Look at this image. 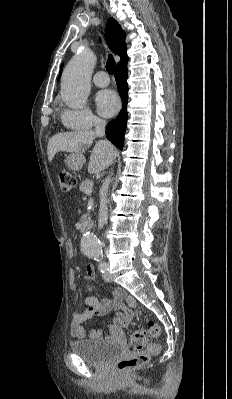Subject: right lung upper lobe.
Masks as SVG:
<instances>
[{
    "instance_id": "obj_1",
    "label": "right lung upper lobe",
    "mask_w": 232,
    "mask_h": 399,
    "mask_svg": "<svg viewBox=\"0 0 232 399\" xmlns=\"http://www.w3.org/2000/svg\"><path fill=\"white\" fill-rule=\"evenodd\" d=\"M107 37L112 51L121 57L120 62L127 60L128 57L126 54V45H125L126 35L125 32L122 30L121 26L119 25V23L113 18H110L107 21Z\"/></svg>"
}]
</instances>
